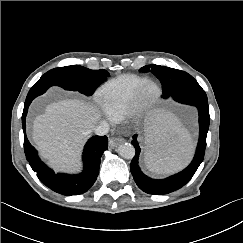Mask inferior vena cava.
<instances>
[{
	"label": "inferior vena cava",
	"instance_id": "1",
	"mask_svg": "<svg viewBox=\"0 0 243 243\" xmlns=\"http://www.w3.org/2000/svg\"><path fill=\"white\" fill-rule=\"evenodd\" d=\"M93 131L96 135H106L109 132V124L105 121H102L93 128Z\"/></svg>",
	"mask_w": 243,
	"mask_h": 243
}]
</instances>
